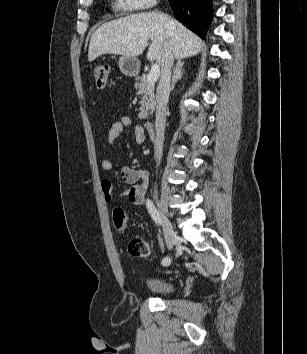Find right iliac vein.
<instances>
[{"label":"right iliac vein","instance_id":"right-iliac-vein-1","mask_svg":"<svg viewBox=\"0 0 307 354\" xmlns=\"http://www.w3.org/2000/svg\"><path fill=\"white\" fill-rule=\"evenodd\" d=\"M157 205L160 209L161 222H162L165 242H166L167 248L169 250H171L173 248L174 244L176 243V234L172 228V225H171L168 217L161 209V203L159 201H157Z\"/></svg>","mask_w":307,"mask_h":354}]
</instances>
